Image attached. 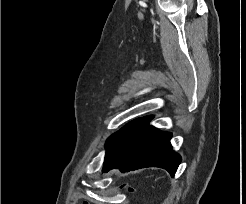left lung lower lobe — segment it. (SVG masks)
<instances>
[{"mask_svg": "<svg viewBox=\"0 0 246 204\" xmlns=\"http://www.w3.org/2000/svg\"><path fill=\"white\" fill-rule=\"evenodd\" d=\"M151 119V116L136 119L107 139L103 172L114 168L126 172L160 167L174 176L181 157L172 150V134L147 125Z\"/></svg>", "mask_w": 246, "mask_h": 204, "instance_id": "1", "label": "left lung lower lobe"}]
</instances>
